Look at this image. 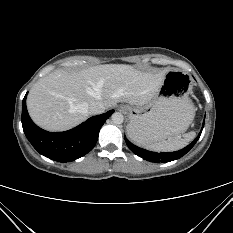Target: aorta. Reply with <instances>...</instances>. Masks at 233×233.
<instances>
[{"label": "aorta", "mask_w": 233, "mask_h": 233, "mask_svg": "<svg viewBox=\"0 0 233 233\" xmlns=\"http://www.w3.org/2000/svg\"><path fill=\"white\" fill-rule=\"evenodd\" d=\"M111 119L114 124H122L124 121L123 115L119 112L113 113Z\"/></svg>", "instance_id": "762f6f07"}]
</instances>
